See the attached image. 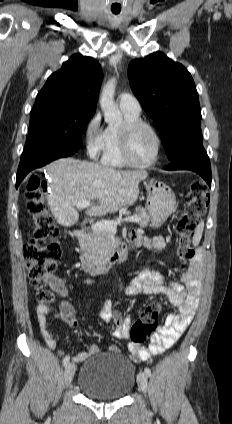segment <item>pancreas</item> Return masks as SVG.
Instances as JSON below:
<instances>
[{"mask_svg": "<svg viewBox=\"0 0 232 424\" xmlns=\"http://www.w3.org/2000/svg\"><path fill=\"white\" fill-rule=\"evenodd\" d=\"M134 216L139 218L137 224L144 228L150 221L148 212L143 207H137ZM86 246L91 256L97 260H102L114 248L115 233L107 230H92L85 239Z\"/></svg>", "mask_w": 232, "mask_h": 424, "instance_id": "obj_1", "label": "pancreas"}]
</instances>
